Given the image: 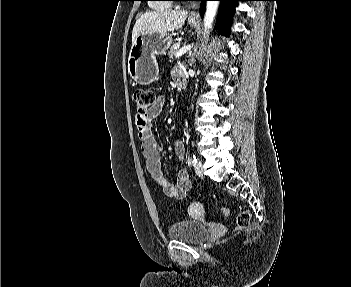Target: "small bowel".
<instances>
[{"label": "small bowel", "mask_w": 351, "mask_h": 287, "mask_svg": "<svg viewBox=\"0 0 351 287\" xmlns=\"http://www.w3.org/2000/svg\"><path fill=\"white\" fill-rule=\"evenodd\" d=\"M165 97H156L153 106L146 115H136V127L138 137L141 141V153L145 161L146 168L152 178L161 186L163 192L171 198L182 199L191 188L189 172L186 168H180L177 172L176 181L172 182L162 171L161 157L163 150L158 139L151 131V121L155 119L163 110ZM175 154L179 161L184 159L185 147L182 141L175 143Z\"/></svg>", "instance_id": "obj_1"}]
</instances>
